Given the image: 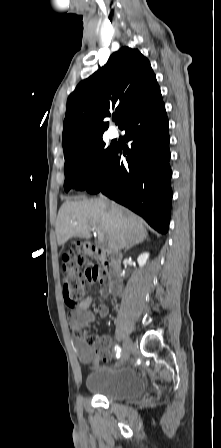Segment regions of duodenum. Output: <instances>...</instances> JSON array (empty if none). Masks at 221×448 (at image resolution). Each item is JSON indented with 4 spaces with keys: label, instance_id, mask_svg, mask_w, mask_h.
<instances>
[{
    "label": "duodenum",
    "instance_id": "1",
    "mask_svg": "<svg viewBox=\"0 0 221 448\" xmlns=\"http://www.w3.org/2000/svg\"><path fill=\"white\" fill-rule=\"evenodd\" d=\"M86 251L94 257H98L102 261V265L107 273L106 289L113 294L119 293L120 289V265L117 257L111 251L103 252L100 248L85 246Z\"/></svg>",
    "mask_w": 221,
    "mask_h": 448
}]
</instances>
